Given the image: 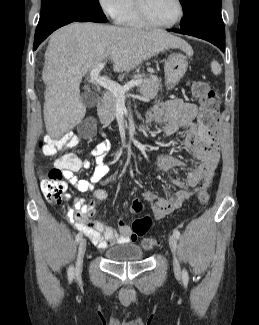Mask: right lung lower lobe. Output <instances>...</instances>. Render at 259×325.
<instances>
[{"label":"right lung lower lobe","instance_id":"1","mask_svg":"<svg viewBox=\"0 0 259 325\" xmlns=\"http://www.w3.org/2000/svg\"><path fill=\"white\" fill-rule=\"evenodd\" d=\"M76 21L75 19L70 18H64L57 21H54L53 23L49 24L44 30H42L39 33H35L34 38V50L37 49V47L40 45L42 41H44L53 31L56 29L69 24L71 22Z\"/></svg>","mask_w":259,"mask_h":325}]
</instances>
